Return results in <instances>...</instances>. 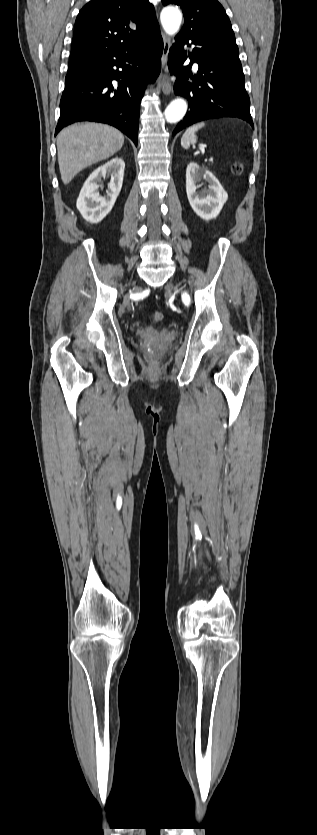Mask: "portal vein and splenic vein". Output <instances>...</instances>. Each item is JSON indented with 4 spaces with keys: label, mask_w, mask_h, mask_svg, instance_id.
<instances>
[{
    "label": "portal vein and splenic vein",
    "mask_w": 317,
    "mask_h": 835,
    "mask_svg": "<svg viewBox=\"0 0 317 835\" xmlns=\"http://www.w3.org/2000/svg\"><path fill=\"white\" fill-rule=\"evenodd\" d=\"M208 161H209V162H211V163H213V162H214V158H213V157H209V158H208Z\"/></svg>",
    "instance_id": "18ae733b"
}]
</instances>
